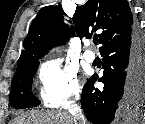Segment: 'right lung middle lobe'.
Returning <instances> with one entry per match:
<instances>
[{
  "label": "right lung middle lobe",
  "mask_w": 145,
  "mask_h": 124,
  "mask_svg": "<svg viewBox=\"0 0 145 124\" xmlns=\"http://www.w3.org/2000/svg\"><path fill=\"white\" fill-rule=\"evenodd\" d=\"M39 62L36 61L24 67L19 72L15 73L10 92V103L18 109L32 108L40 104L31 92L32 77L38 68Z\"/></svg>",
  "instance_id": "obj_1"
}]
</instances>
